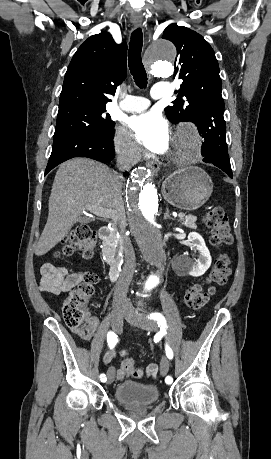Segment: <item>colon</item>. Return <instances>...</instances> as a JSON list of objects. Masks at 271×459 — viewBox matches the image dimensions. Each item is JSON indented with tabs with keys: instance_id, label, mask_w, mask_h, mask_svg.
<instances>
[{
	"instance_id": "obj_1",
	"label": "colon",
	"mask_w": 271,
	"mask_h": 459,
	"mask_svg": "<svg viewBox=\"0 0 271 459\" xmlns=\"http://www.w3.org/2000/svg\"><path fill=\"white\" fill-rule=\"evenodd\" d=\"M204 225L210 230V242L217 247L228 246L232 243V233L229 218L224 209L215 207L210 209L203 217ZM97 240L96 231L88 225L77 226L62 243L57 251V256L68 257L79 251L85 257L93 254ZM231 274V262L225 254L219 255L208 275L207 282L212 285H224ZM98 277L94 273L87 272L83 280L66 297L63 316L69 327H77L85 322L88 316V302L95 291ZM214 288L204 290L201 284L191 285L185 292V302L192 309H200L205 306L212 295ZM122 369L134 377L142 376V371L137 368L133 358L123 356Z\"/></svg>"
}]
</instances>
